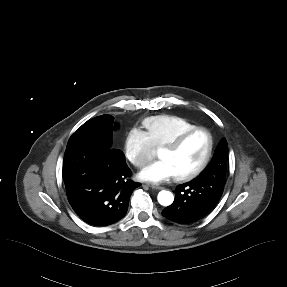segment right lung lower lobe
<instances>
[{"instance_id": "obj_1", "label": "right lung lower lobe", "mask_w": 287, "mask_h": 287, "mask_svg": "<svg viewBox=\"0 0 287 287\" xmlns=\"http://www.w3.org/2000/svg\"><path fill=\"white\" fill-rule=\"evenodd\" d=\"M122 151L97 141L67 145L62 169L68 201L87 224L107 226L127 213L132 192L139 187Z\"/></svg>"}]
</instances>
